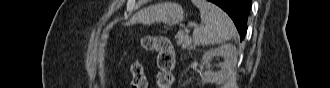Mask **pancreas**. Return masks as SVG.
I'll list each match as a JSON object with an SVG mask.
<instances>
[{
    "label": "pancreas",
    "mask_w": 330,
    "mask_h": 88,
    "mask_svg": "<svg viewBox=\"0 0 330 88\" xmlns=\"http://www.w3.org/2000/svg\"><path fill=\"white\" fill-rule=\"evenodd\" d=\"M175 38L177 39V45L186 50H190L192 46V39L187 32L182 30L178 31Z\"/></svg>",
    "instance_id": "obj_1"
}]
</instances>
